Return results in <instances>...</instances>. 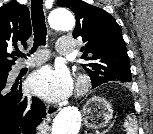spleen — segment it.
I'll return each instance as SVG.
<instances>
[{
    "label": "spleen",
    "mask_w": 153,
    "mask_h": 134,
    "mask_svg": "<svg viewBox=\"0 0 153 134\" xmlns=\"http://www.w3.org/2000/svg\"><path fill=\"white\" fill-rule=\"evenodd\" d=\"M123 127L127 134H137V125L133 115H130L125 119Z\"/></svg>",
    "instance_id": "1"
}]
</instances>
